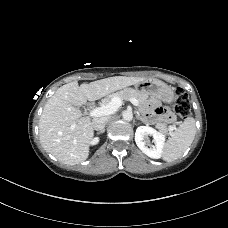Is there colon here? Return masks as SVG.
Masks as SVG:
<instances>
[{"label": "colon", "mask_w": 228, "mask_h": 228, "mask_svg": "<svg viewBox=\"0 0 228 228\" xmlns=\"http://www.w3.org/2000/svg\"><path fill=\"white\" fill-rule=\"evenodd\" d=\"M175 113L176 116L185 119L190 115V98L188 93L181 87L175 89ZM166 121L173 123L175 121V116L168 114Z\"/></svg>", "instance_id": "obj_1"}]
</instances>
